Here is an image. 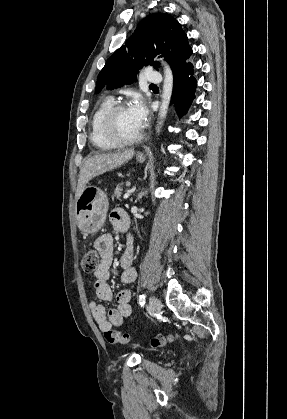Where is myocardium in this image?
<instances>
[{
    "label": "myocardium",
    "mask_w": 287,
    "mask_h": 419,
    "mask_svg": "<svg viewBox=\"0 0 287 419\" xmlns=\"http://www.w3.org/2000/svg\"><path fill=\"white\" fill-rule=\"evenodd\" d=\"M127 108L125 103H116L114 104L104 115L102 120V131L104 135L116 145H129L139 142L144 133L141 131L138 135L134 137H123L119 134L117 127H116V119L118 113Z\"/></svg>",
    "instance_id": "1"
}]
</instances>
